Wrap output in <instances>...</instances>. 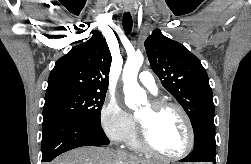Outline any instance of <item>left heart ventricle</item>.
Returning <instances> with one entry per match:
<instances>
[{"label": "left heart ventricle", "mask_w": 251, "mask_h": 164, "mask_svg": "<svg viewBox=\"0 0 251 164\" xmlns=\"http://www.w3.org/2000/svg\"><path fill=\"white\" fill-rule=\"evenodd\" d=\"M138 120L147 128L152 144L162 153L178 155L186 149L187 128L176 110L155 111L148 105L138 114Z\"/></svg>", "instance_id": "left-heart-ventricle-1"}]
</instances>
